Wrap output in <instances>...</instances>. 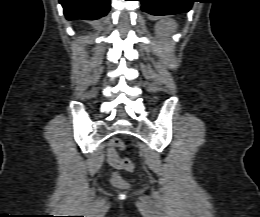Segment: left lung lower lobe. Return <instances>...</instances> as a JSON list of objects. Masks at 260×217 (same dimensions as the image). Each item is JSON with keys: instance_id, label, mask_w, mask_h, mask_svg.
<instances>
[{"instance_id": "1", "label": "left lung lower lobe", "mask_w": 260, "mask_h": 217, "mask_svg": "<svg viewBox=\"0 0 260 217\" xmlns=\"http://www.w3.org/2000/svg\"><path fill=\"white\" fill-rule=\"evenodd\" d=\"M142 11L152 15H174L188 12L194 0H139Z\"/></svg>"}]
</instances>
